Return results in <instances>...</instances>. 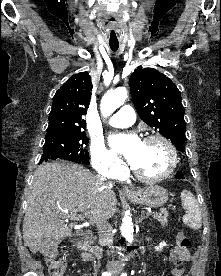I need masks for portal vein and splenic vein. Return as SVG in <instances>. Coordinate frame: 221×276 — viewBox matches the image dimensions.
Segmentation results:
<instances>
[{
	"mask_svg": "<svg viewBox=\"0 0 221 276\" xmlns=\"http://www.w3.org/2000/svg\"><path fill=\"white\" fill-rule=\"evenodd\" d=\"M152 212H147V215H151ZM73 219L75 220H78V221H84L85 220V217L83 215H75L72 217Z\"/></svg>",
	"mask_w": 221,
	"mask_h": 276,
	"instance_id": "obj_1",
	"label": "portal vein and splenic vein"
}]
</instances>
